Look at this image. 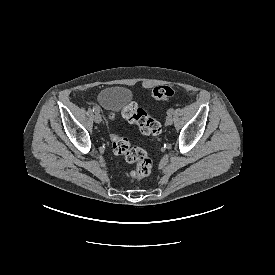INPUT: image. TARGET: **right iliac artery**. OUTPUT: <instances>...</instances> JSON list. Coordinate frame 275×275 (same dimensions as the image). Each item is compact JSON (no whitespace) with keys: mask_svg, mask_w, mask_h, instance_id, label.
<instances>
[{"mask_svg":"<svg viewBox=\"0 0 275 275\" xmlns=\"http://www.w3.org/2000/svg\"><path fill=\"white\" fill-rule=\"evenodd\" d=\"M93 111H95V112H96V111H99V108H98L97 106H94V107H93Z\"/></svg>","mask_w":275,"mask_h":275,"instance_id":"82829eb1","label":"right iliac artery"}]
</instances>
